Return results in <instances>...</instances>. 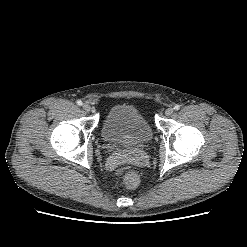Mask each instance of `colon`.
I'll list each match as a JSON object with an SVG mask.
<instances>
[{"label": "colon", "instance_id": "obj_1", "mask_svg": "<svg viewBox=\"0 0 247 247\" xmlns=\"http://www.w3.org/2000/svg\"><path fill=\"white\" fill-rule=\"evenodd\" d=\"M123 184L128 189H134L140 184V175L134 170H127L122 175Z\"/></svg>", "mask_w": 247, "mask_h": 247}]
</instances>
